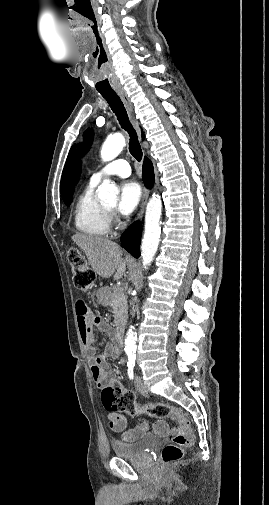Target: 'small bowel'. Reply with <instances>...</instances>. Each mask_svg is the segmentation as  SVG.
I'll use <instances>...</instances> for the list:
<instances>
[{
    "mask_svg": "<svg viewBox=\"0 0 269 505\" xmlns=\"http://www.w3.org/2000/svg\"><path fill=\"white\" fill-rule=\"evenodd\" d=\"M85 303L79 300L76 304V313L81 340L85 349V354L90 362L91 375L96 386L102 389L114 380V374L108 370L107 358L117 357L120 353V347L116 342L106 343L102 351L96 354L93 347L94 334L93 329L101 333L113 336V327L105 321L96 311L90 307H83ZM109 426L116 432L121 433L125 441H134L144 436L148 430L147 422L142 421L136 427L127 429V420L124 415L115 411L108 412ZM154 432L159 436H165L170 433L167 423L164 420L156 422L153 426Z\"/></svg>",
    "mask_w": 269,
    "mask_h": 505,
    "instance_id": "1",
    "label": "small bowel"
}]
</instances>
